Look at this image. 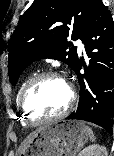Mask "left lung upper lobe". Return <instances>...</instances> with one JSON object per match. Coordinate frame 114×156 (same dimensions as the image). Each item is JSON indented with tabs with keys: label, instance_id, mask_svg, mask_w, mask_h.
Wrapping results in <instances>:
<instances>
[{
	"label": "left lung upper lobe",
	"instance_id": "1",
	"mask_svg": "<svg viewBox=\"0 0 114 156\" xmlns=\"http://www.w3.org/2000/svg\"><path fill=\"white\" fill-rule=\"evenodd\" d=\"M100 0H34L22 15L8 55V71L15 85L33 61L50 58L75 69L77 48L68 41L81 39Z\"/></svg>",
	"mask_w": 114,
	"mask_h": 156
}]
</instances>
